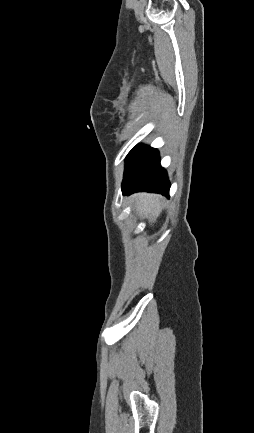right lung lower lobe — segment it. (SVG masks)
Returning <instances> with one entry per match:
<instances>
[{"mask_svg": "<svg viewBox=\"0 0 254 433\" xmlns=\"http://www.w3.org/2000/svg\"><path fill=\"white\" fill-rule=\"evenodd\" d=\"M169 188L167 173L160 165L159 152L143 145L133 148L126 159L123 194L147 191L168 196Z\"/></svg>", "mask_w": 254, "mask_h": 433, "instance_id": "obj_1", "label": "right lung lower lobe"}]
</instances>
